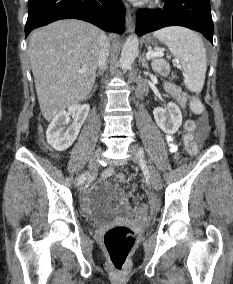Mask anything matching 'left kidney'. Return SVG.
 I'll return each instance as SVG.
<instances>
[{"label": "left kidney", "mask_w": 233, "mask_h": 284, "mask_svg": "<svg viewBox=\"0 0 233 284\" xmlns=\"http://www.w3.org/2000/svg\"><path fill=\"white\" fill-rule=\"evenodd\" d=\"M153 115L157 125L167 134H175L182 124V114L175 103H169L165 108L156 107Z\"/></svg>", "instance_id": "left-kidney-1"}]
</instances>
